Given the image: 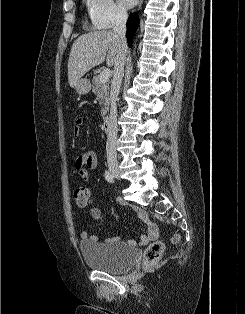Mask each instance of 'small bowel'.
I'll return each instance as SVG.
<instances>
[{
  "instance_id": "small-bowel-1",
  "label": "small bowel",
  "mask_w": 245,
  "mask_h": 314,
  "mask_svg": "<svg viewBox=\"0 0 245 314\" xmlns=\"http://www.w3.org/2000/svg\"><path fill=\"white\" fill-rule=\"evenodd\" d=\"M83 121L81 118H78L75 122L74 128H73V133L75 136L79 134V127L82 125ZM98 166V158L97 155L94 151H84L82 152L77 159L75 160L74 163V169L75 172L78 176V178L81 181H87L89 179V173L86 167L89 169H96ZM136 214L137 216L143 221L147 228L146 234H143L139 237L138 243L139 245H147L149 242L156 240L159 236V230L158 227L155 223H153L147 213L141 209V208H136ZM90 215L93 220L99 221L102 219V213L99 208L92 207L90 209ZM81 238L84 241H90V242H96L98 240V237L96 235H91L87 231H83L81 233ZM120 240L119 237H112L106 239V242H118ZM130 244H134V241H130Z\"/></svg>"
}]
</instances>
